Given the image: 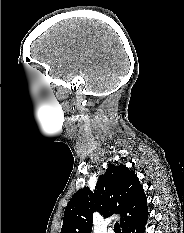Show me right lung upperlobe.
I'll use <instances>...</instances> for the list:
<instances>
[{
  "instance_id": "1",
  "label": "right lung upper lobe",
  "mask_w": 184,
  "mask_h": 233,
  "mask_svg": "<svg viewBox=\"0 0 184 233\" xmlns=\"http://www.w3.org/2000/svg\"><path fill=\"white\" fill-rule=\"evenodd\" d=\"M147 207V199L137 175L125 165L109 164L99 176L94 193L78 190L67 204L61 233H91L93 212L104 218L121 215V227Z\"/></svg>"
}]
</instances>
